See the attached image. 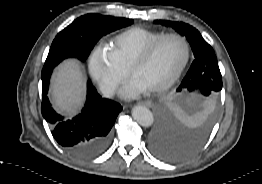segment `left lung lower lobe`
<instances>
[{"label": "left lung lower lobe", "mask_w": 262, "mask_h": 184, "mask_svg": "<svg viewBox=\"0 0 262 184\" xmlns=\"http://www.w3.org/2000/svg\"><path fill=\"white\" fill-rule=\"evenodd\" d=\"M192 64L194 68H198L196 74L204 68V75L211 74L216 78H222L215 53L200 56ZM207 136L208 129L194 135H178L168 120L159 115L149 137V149L155 157L163 161L176 162L198 152L206 142Z\"/></svg>", "instance_id": "1"}]
</instances>
